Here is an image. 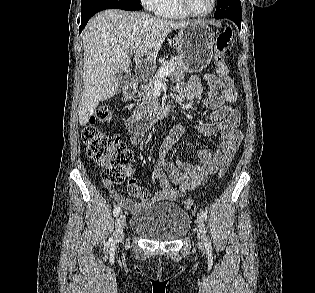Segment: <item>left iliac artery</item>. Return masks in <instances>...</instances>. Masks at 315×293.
Wrapping results in <instances>:
<instances>
[{
    "mask_svg": "<svg viewBox=\"0 0 315 293\" xmlns=\"http://www.w3.org/2000/svg\"><path fill=\"white\" fill-rule=\"evenodd\" d=\"M200 215L205 221L207 220V213L204 210L200 211ZM205 246L207 249L211 248V242L208 238H206Z\"/></svg>",
    "mask_w": 315,
    "mask_h": 293,
    "instance_id": "44dca946",
    "label": "left iliac artery"
}]
</instances>
